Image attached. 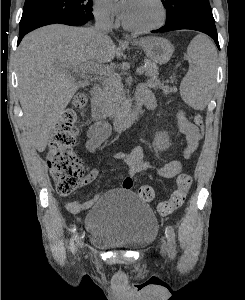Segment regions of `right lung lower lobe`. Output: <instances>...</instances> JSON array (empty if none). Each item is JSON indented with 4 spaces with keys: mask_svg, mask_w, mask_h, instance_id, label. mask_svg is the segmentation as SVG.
Segmentation results:
<instances>
[{
    "mask_svg": "<svg viewBox=\"0 0 245 300\" xmlns=\"http://www.w3.org/2000/svg\"><path fill=\"white\" fill-rule=\"evenodd\" d=\"M89 22H91V20L65 21V22H59V23L71 25V26H78V25H83V24L89 23ZM26 34L27 33L19 34L18 44L20 43V41Z\"/></svg>",
    "mask_w": 245,
    "mask_h": 300,
    "instance_id": "obj_1",
    "label": "right lung lower lobe"
}]
</instances>
